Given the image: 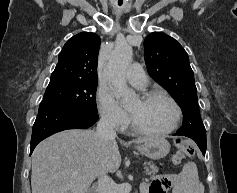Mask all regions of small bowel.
Returning <instances> with one entry per match:
<instances>
[{
	"label": "small bowel",
	"mask_w": 237,
	"mask_h": 193,
	"mask_svg": "<svg viewBox=\"0 0 237 193\" xmlns=\"http://www.w3.org/2000/svg\"><path fill=\"white\" fill-rule=\"evenodd\" d=\"M203 193L204 188L193 162L183 165L178 174L160 175L152 183H144L141 193Z\"/></svg>",
	"instance_id": "small-bowel-1"
}]
</instances>
